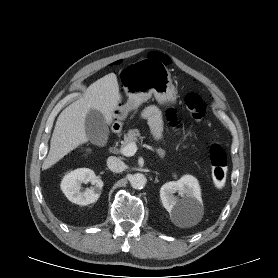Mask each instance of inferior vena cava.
I'll use <instances>...</instances> for the list:
<instances>
[{"mask_svg": "<svg viewBox=\"0 0 278 278\" xmlns=\"http://www.w3.org/2000/svg\"><path fill=\"white\" fill-rule=\"evenodd\" d=\"M107 166L111 171L116 172V173L122 172L126 168L125 163L122 160H120L119 158L114 157V156H110L107 159Z\"/></svg>", "mask_w": 278, "mask_h": 278, "instance_id": "1", "label": "inferior vena cava"}]
</instances>
